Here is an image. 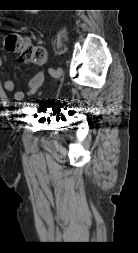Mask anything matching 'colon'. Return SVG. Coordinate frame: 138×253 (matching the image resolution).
Masks as SVG:
<instances>
[{"label": "colon", "mask_w": 138, "mask_h": 253, "mask_svg": "<svg viewBox=\"0 0 138 253\" xmlns=\"http://www.w3.org/2000/svg\"><path fill=\"white\" fill-rule=\"evenodd\" d=\"M5 47L10 51L21 48V60L25 62L43 63L45 60V52L41 48L31 47L29 44L22 42L21 38L16 34H10L5 39Z\"/></svg>", "instance_id": "obj_1"}]
</instances>
